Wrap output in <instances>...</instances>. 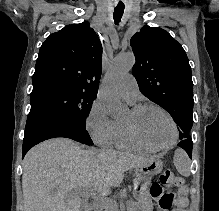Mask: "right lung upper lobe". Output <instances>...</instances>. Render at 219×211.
Masks as SVG:
<instances>
[{"instance_id":"cb5924a9","label":"right lung upper lobe","mask_w":219,"mask_h":211,"mask_svg":"<svg viewBox=\"0 0 219 211\" xmlns=\"http://www.w3.org/2000/svg\"><path fill=\"white\" fill-rule=\"evenodd\" d=\"M102 71V45L87 21L67 25L42 44L33 90L63 85L96 95Z\"/></svg>"}]
</instances>
